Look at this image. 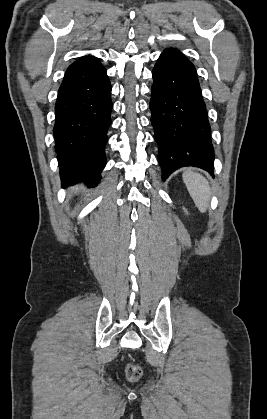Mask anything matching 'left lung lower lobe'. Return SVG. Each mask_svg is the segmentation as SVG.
<instances>
[{
    "label": "left lung lower lobe",
    "mask_w": 267,
    "mask_h": 419,
    "mask_svg": "<svg viewBox=\"0 0 267 419\" xmlns=\"http://www.w3.org/2000/svg\"><path fill=\"white\" fill-rule=\"evenodd\" d=\"M152 75L151 123L162 180L183 166L199 167L213 175L210 124L194 65L180 51L167 49Z\"/></svg>",
    "instance_id": "left-lung-lower-lobe-1"
}]
</instances>
